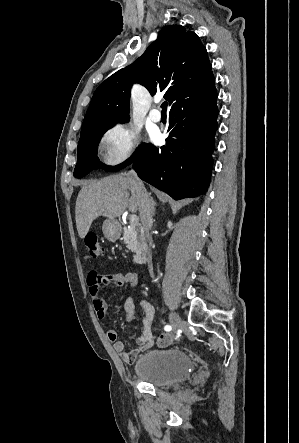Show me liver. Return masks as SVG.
I'll return each mask as SVG.
<instances>
[{
    "mask_svg": "<svg viewBox=\"0 0 299 443\" xmlns=\"http://www.w3.org/2000/svg\"><path fill=\"white\" fill-rule=\"evenodd\" d=\"M127 208L132 213L139 209V201L131 190L128 176L116 174L85 182L75 206L79 237L85 238L92 222L98 217L113 220L120 217Z\"/></svg>",
    "mask_w": 299,
    "mask_h": 443,
    "instance_id": "6515ba94",
    "label": "liver"
}]
</instances>
